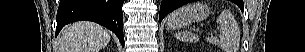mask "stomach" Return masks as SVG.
<instances>
[{
  "label": "stomach",
  "mask_w": 305,
  "mask_h": 52,
  "mask_svg": "<svg viewBox=\"0 0 305 52\" xmlns=\"http://www.w3.org/2000/svg\"><path fill=\"white\" fill-rule=\"evenodd\" d=\"M209 14L210 8L208 5L203 2H197L184 5L173 11L166 17L165 24L170 29H183L194 22L206 19Z\"/></svg>",
  "instance_id": "stomach-1"
}]
</instances>
